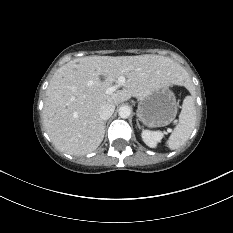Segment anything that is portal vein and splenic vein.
<instances>
[{"label": "portal vein and splenic vein", "instance_id": "18ae733b", "mask_svg": "<svg viewBox=\"0 0 233 233\" xmlns=\"http://www.w3.org/2000/svg\"><path fill=\"white\" fill-rule=\"evenodd\" d=\"M125 81H126L125 77H124V76H120V77L118 78L117 83H116L115 85H112V86H110V87H108V88L106 89V93H108V94L113 93L114 91H116V90L119 89L120 87L124 86Z\"/></svg>", "mask_w": 233, "mask_h": 233}]
</instances>
